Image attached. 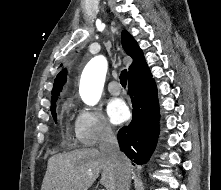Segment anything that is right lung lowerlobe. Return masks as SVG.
Masks as SVG:
<instances>
[{"label":"right lung lower lobe","mask_w":221,"mask_h":190,"mask_svg":"<svg viewBox=\"0 0 221 190\" xmlns=\"http://www.w3.org/2000/svg\"><path fill=\"white\" fill-rule=\"evenodd\" d=\"M133 119L117 135L120 150L138 165L145 164L155 148L159 133L157 88L151 73L129 80Z\"/></svg>","instance_id":"right-lung-lower-lobe-1"}]
</instances>
